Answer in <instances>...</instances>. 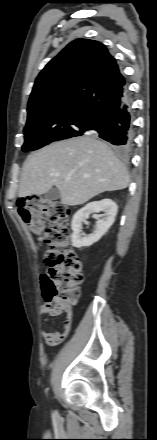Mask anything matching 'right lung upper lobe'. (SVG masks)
Wrapping results in <instances>:
<instances>
[{
  "label": "right lung upper lobe",
  "mask_w": 157,
  "mask_h": 440,
  "mask_svg": "<svg viewBox=\"0 0 157 440\" xmlns=\"http://www.w3.org/2000/svg\"><path fill=\"white\" fill-rule=\"evenodd\" d=\"M126 95L125 79L106 47L98 41L77 39L36 78L28 120L84 125L119 105Z\"/></svg>",
  "instance_id": "1"
}]
</instances>
